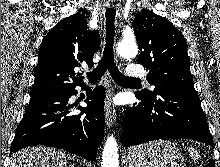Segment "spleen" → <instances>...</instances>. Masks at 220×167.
I'll return each instance as SVG.
<instances>
[{"label": "spleen", "mask_w": 220, "mask_h": 167, "mask_svg": "<svg viewBox=\"0 0 220 167\" xmlns=\"http://www.w3.org/2000/svg\"><path fill=\"white\" fill-rule=\"evenodd\" d=\"M189 155L193 160H198L199 159V154L194 148H189L188 149Z\"/></svg>", "instance_id": "obj_1"}]
</instances>
